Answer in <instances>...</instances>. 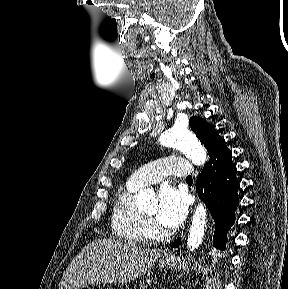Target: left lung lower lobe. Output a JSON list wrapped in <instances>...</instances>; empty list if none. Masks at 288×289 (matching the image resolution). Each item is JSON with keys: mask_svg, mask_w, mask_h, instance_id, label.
<instances>
[{"mask_svg": "<svg viewBox=\"0 0 288 289\" xmlns=\"http://www.w3.org/2000/svg\"><path fill=\"white\" fill-rule=\"evenodd\" d=\"M196 189L215 220L213 245L224 250L226 234L235 222V210L239 205L236 166L224 139L217 144L197 178ZM179 243L180 238L174 241L172 247L177 248Z\"/></svg>", "mask_w": 288, "mask_h": 289, "instance_id": "left-lung-lower-lobe-1", "label": "left lung lower lobe"}]
</instances>
